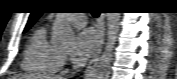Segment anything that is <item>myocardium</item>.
Returning a JSON list of instances; mask_svg holds the SVG:
<instances>
[{
	"label": "myocardium",
	"mask_w": 177,
	"mask_h": 79,
	"mask_svg": "<svg viewBox=\"0 0 177 79\" xmlns=\"http://www.w3.org/2000/svg\"><path fill=\"white\" fill-rule=\"evenodd\" d=\"M62 55H63V56H65V55H66V53H63Z\"/></svg>",
	"instance_id": "f54148a6"
}]
</instances>
